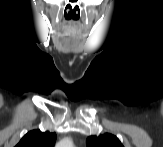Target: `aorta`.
Here are the masks:
<instances>
[{"label": "aorta", "instance_id": "obj_1", "mask_svg": "<svg viewBox=\"0 0 163 147\" xmlns=\"http://www.w3.org/2000/svg\"><path fill=\"white\" fill-rule=\"evenodd\" d=\"M72 146H73V143L70 138H65L57 144V147H72Z\"/></svg>", "mask_w": 163, "mask_h": 147}]
</instances>
